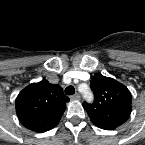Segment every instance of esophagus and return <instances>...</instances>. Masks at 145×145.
Returning a JSON list of instances; mask_svg holds the SVG:
<instances>
[{"instance_id":"1","label":"esophagus","mask_w":145,"mask_h":145,"mask_svg":"<svg viewBox=\"0 0 145 145\" xmlns=\"http://www.w3.org/2000/svg\"><path fill=\"white\" fill-rule=\"evenodd\" d=\"M70 98L72 100H79L80 99V95L78 93H76V94L72 95Z\"/></svg>"}]
</instances>
